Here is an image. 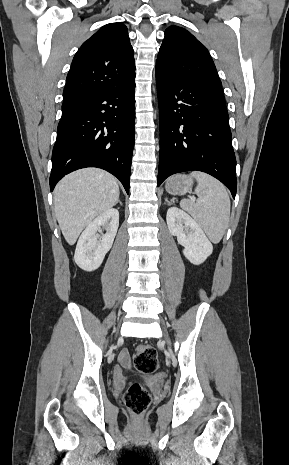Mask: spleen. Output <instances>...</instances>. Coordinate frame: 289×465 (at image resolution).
Here are the masks:
<instances>
[{"mask_svg": "<svg viewBox=\"0 0 289 465\" xmlns=\"http://www.w3.org/2000/svg\"><path fill=\"white\" fill-rule=\"evenodd\" d=\"M198 185L192 198L180 201V206L187 211L201 226L214 244L221 241L230 218V198L224 185L214 177L199 171L190 174Z\"/></svg>", "mask_w": 289, "mask_h": 465, "instance_id": "obj_1", "label": "spleen"}]
</instances>
